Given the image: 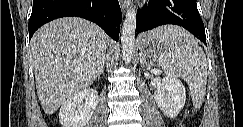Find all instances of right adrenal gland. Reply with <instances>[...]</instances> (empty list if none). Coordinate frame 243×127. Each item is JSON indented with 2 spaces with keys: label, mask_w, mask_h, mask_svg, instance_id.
I'll use <instances>...</instances> for the list:
<instances>
[{
  "label": "right adrenal gland",
  "mask_w": 243,
  "mask_h": 127,
  "mask_svg": "<svg viewBox=\"0 0 243 127\" xmlns=\"http://www.w3.org/2000/svg\"><path fill=\"white\" fill-rule=\"evenodd\" d=\"M101 74H104V65L102 66L101 70L99 71L97 77L100 78Z\"/></svg>",
  "instance_id": "2a0ac1e0"
}]
</instances>
